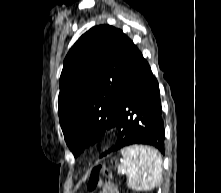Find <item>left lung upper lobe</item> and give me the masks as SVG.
Segmentation results:
<instances>
[{
  "mask_svg": "<svg viewBox=\"0 0 221 193\" xmlns=\"http://www.w3.org/2000/svg\"><path fill=\"white\" fill-rule=\"evenodd\" d=\"M137 52L121 30L109 25L91 28L68 52L60 77L58 114L75 157L116 125L120 86Z\"/></svg>",
  "mask_w": 221,
  "mask_h": 193,
  "instance_id": "5c2ea615",
  "label": "left lung upper lobe"
}]
</instances>
